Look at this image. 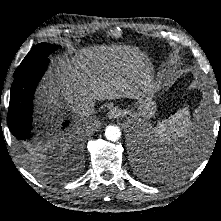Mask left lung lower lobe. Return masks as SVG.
Returning <instances> with one entry per match:
<instances>
[{
  "mask_svg": "<svg viewBox=\"0 0 221 221\" xmlns=\"http://www.w3.org/2000/svg\"><path fill=\"white\" fill-rule=\"evenodd\" d=\"M191 153H192V143L181 144L177 150H174L166 158V161L172 165L171 167L167 166L166 168L163 167L161 170H159L160 169L159 167H161L159 165L160 163L153 160L152 165H154V167H152V169H156V170L158 169L160 172H164L165 170H170V169L173 171L178 170L179 168H181L182 165L186 164Z\"/></svg>",
  "mask_w": 221,
  "mask_h": 221,
  "instance_id": "0a47b994",
  "label": "left lung lower lobe"
}]
</instances>
